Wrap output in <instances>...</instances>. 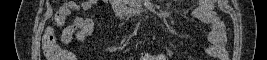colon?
<instances>
[{"mask_svg":"<svg viewBox=\"0 0 267 60\" xmlns=\"http://www.w3.org/2000/svg\"><path fill=\"white\" fill-rule=\"evenodd\" d=\"M65 17L61 16L59 20H64ZM43 55L48 60H61L65 56V52L58 45L57 40L53 33H47L43 36L42 40Z\"/></svg>","mask_w":267,"mask_h":60,"instance_id":"colon-1","label":"colon"}]
</instances>
